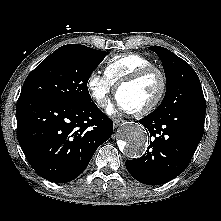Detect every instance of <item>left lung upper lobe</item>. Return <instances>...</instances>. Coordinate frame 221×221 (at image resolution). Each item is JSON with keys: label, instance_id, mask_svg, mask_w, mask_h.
<instances>
[{"label": "left lung upper lobe", "instance_id": "1", "mask_svg": "<svg viewBox=\"0 0 221 221\" xmlns=\"http://www.w3.org/2000/svg\"><path fill=\"white\" fill-rule=\"evenodd\" d=\"M149 49L161 59L167 81L164 99L155 111H173L188 107L206 109L200 80L194 69L166 48L151 46Z\"/></svg>", "mask_w": 221, "mask_h": 221}]
</instances>
